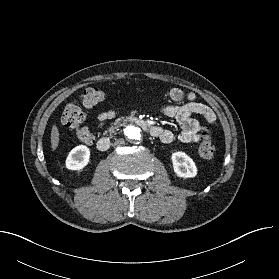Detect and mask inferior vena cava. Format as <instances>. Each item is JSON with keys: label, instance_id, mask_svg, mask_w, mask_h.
I'll list each match as a JSON object with an SVG mask.
<instances>
[{"label": "inferior vena cava", "instance_id": "602c4592", "mask_svg": "<svg viewBox=\"0 0 279 279\" xmlns=\"http://www.w3.org/2000/svg\"><path fill=\"white\" fill-rule=\"evenodd\" d=\"M125 144V141H124V139H117L115 142H114V146L115 147H119V146H122V145H124Z\"/></svg>", "mask_w": 279, "mask_h": 279}]
</instances>
